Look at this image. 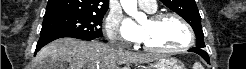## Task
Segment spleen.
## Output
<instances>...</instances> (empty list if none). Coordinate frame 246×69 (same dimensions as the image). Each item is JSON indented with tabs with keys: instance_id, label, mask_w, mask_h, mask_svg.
I'll list each match as a JSON object with an SVG mask.
<instances>
[{
	"instance_id": "spleen-1",
	"label": "spleen",
	"mask_w": 246,
	"mask_h": 69,
	"mask_svg": "<svg viewBox=\"0 0 246 69\" xmlns=\"http://www.w3.org/2000/svg\"><path fill=\"white\" fill-rule=\"evenodd\" d=\"M193 69H203L202 65L198 62H196L194 65H193Z\"/></svg>"
}]
</instances>
